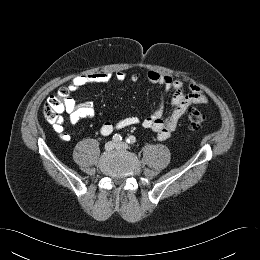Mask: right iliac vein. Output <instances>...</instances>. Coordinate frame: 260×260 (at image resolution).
<instances>
[{
    "mask_svg": "<svg viewBox=\"0 0 260 260\" xmlns=\"http://www.w3.org/2000/svg\"><path fill=\"white\" fill-rule=\"evenodd\" d=\"M115 147H116V144H115L113 141H108V142L105 144V150H106V151H111V150H113Z\"/></svg>",
    "mask_w": 260,
    "mask_h": 260,
    "instance_id": "obj_1",
    "label": "right iliac vein"
}]
</instances>
